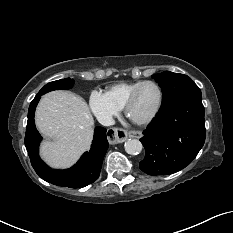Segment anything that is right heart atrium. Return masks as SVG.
<instances>
[{
  "label": "right heart atrium",
  "instance_id": "1",
  "mask_svg": "<svg viewBox=\"0 0 233 233\" xmlns=\"http://www.w3.org/2000/svg\"><path fill=\"white\" fill-rule=\"evenodd\" d=\"M89 106L92 113L102 124H109L120 112V108L111 101L106 93L98 90L91 92Z\"/></svg>",
  "mask_w": 233,
  "mask_h": 233
}]
</instances>
